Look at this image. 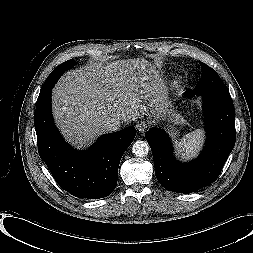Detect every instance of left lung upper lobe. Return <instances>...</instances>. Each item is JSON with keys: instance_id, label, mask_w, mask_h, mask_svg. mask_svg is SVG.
<instances>
[{"instance_id": "5c2ea615", "label": "left lung upper lobe", "mask_w": 253, "mask_h": 253, "mask_svg": "<svg viewBox=\"0 0 253 253\" xmlns=\"http://www.w3.org/2000/svg\"><path fill=\"white\" fill-rule=\"evenodd\" d=\"M200 64L202 70L201 79L197 83L194 90L198 94H203L216 88L219 84L222 83V81L216 71L208 67L203 62H200Z\"/></svg>"}]
</instances>
